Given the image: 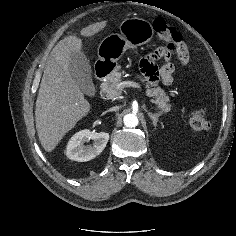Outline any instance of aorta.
<instances>
[{
  "instance_id": "1",
  "label": "aorta",
  "mask_w": 236,
  "mask_h": 236,
  "mask_svg": "<svg viewBox=\"0 0 236 236\" xmlns=\"http://www.w3.org/2000/svg\"><path fill=\"white\" fill-rule=\"evenodd\" d=\"M123 121L124 125L129 128L136 127L139 123L138 117L133 113L125 115Z\"/></svg>"
}]
</instances>
